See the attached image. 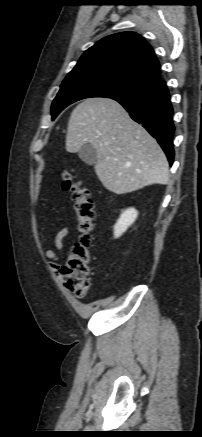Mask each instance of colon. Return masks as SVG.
<instances>
[{
	"label": "colon",
	"instance_id": "5ec220e1",
	"mask_svg": "<svg viewBox=\"0 0 202 437\" xmlns=\"http://www.w3.org/2000/svg\"><path fill=\"white\" fill-rule=\"evenodd\" d=\"M63 188L69 191L74 203L79 238L69 250L65 263L60 268L63 285L76 297H84L90 287V246L94 229V203L89 191L81 185L72 170L62 173Z\"/></svg>",
	"mask_w": 202,
	"mask_h": 437
}]
</instances>
